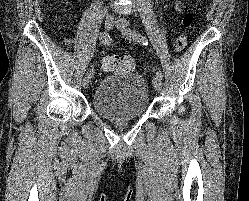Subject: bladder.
Returning a JSON list of instances; mask_svg holds the SVG:
<instances>
[{
	"label": "bladder",
	"instance_id": "obj_1",
	"mask_svg": "<svg viewBox=\"0 0 249 201\" xmlns=\"http://www.w3.org/2000/svg\"><path fill=\"white\" fill-rule=\"evenodd\" d=\"M92 106L97 115L108 120L138 119L148 110L147 83L137 73L108 75L98 83Z\"/></svg>",
	"mask_w": 249,
	"mask_h": 201
}]
</instances>
